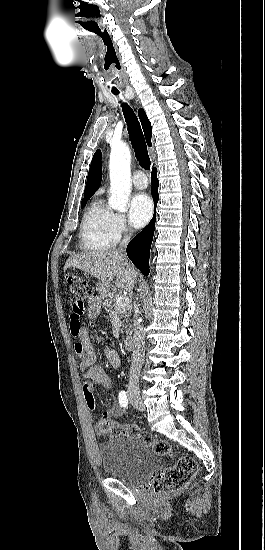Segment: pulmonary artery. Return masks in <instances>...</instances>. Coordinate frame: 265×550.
Masks as SVG:
<instances>
[{
    "instance_id": "pulmonary-artery-1",
    "label": "pulmonary artery",
    "mask_w": 265,
    "mask_h": 550,
    "mask_svg": "<svg viewBox=\"0 0 265 550\" xmlns=\"http://www.w3.org/2000/svg\"><path fill=\"white\" fill-rule=\"evenodd\" d=\"M132 184L136 189H145L148 185V181L144 172L136 171L133 175Z\"/></svg>"
}]
</instances>
